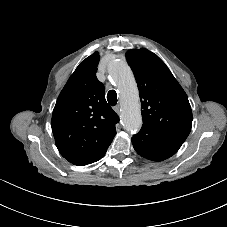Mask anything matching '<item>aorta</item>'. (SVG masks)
Wrapping results in <instances>:
<instances>
[{"label":"aorta","instance_id":"obj_1","mask_svg":"<svg viewBox=\"0 0 227 227\" xmlns=\"http://www.w3.org/2000/svg\"><path fill=\"white\" fill-rule=\"evenodd\" d=\"M108 73L121 94V121L127 131H138L142 125L138 90L132 72L126 62L113 60L108 65Z\"/></svg>","mask_w":227,"mask_h":227}]
</instances>
